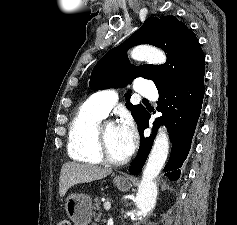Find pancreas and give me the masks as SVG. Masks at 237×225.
Returning a JSON list of instances; mask_svg holds the SVG:
<instances>
[{
  "instance_id": "cf45deb5",
  "label": "pancreas",
  "mask_w": 237,
  "mask_h": 225,
  "mask_svg": "<svg viewBox=\"0 0 237 225\" xmlns=\"http://www.w3.org/2000/svg\"><path fill=\"white\" fill-rule=\"evenodd\" d=\"M93 208H94L95 210H97V211L100 212V210H101V201H100V197L97 196V197L95 198V204H94ZM96 215H98L99 217L101 216L100 213H98V214H96Z\"/></svg>"
}]
</instances>
